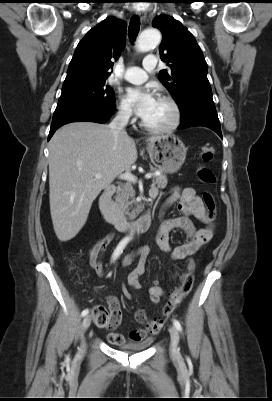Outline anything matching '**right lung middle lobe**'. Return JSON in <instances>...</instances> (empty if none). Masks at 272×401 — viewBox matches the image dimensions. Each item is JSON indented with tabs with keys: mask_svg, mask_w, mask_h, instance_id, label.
<instances>
[{
	"mask_svg": "<svg viewBox=\"0 0 272 401\" xmlns=\"http://www.w3.org/2000/svg\"><path fill=\"white\" fill-rule=\"evenodd\" d=\"M114 98L106 80L62 90L53 118L79 110L112 111Z\"/></svg>",
	"mask_w": 272,
	"mask_h": 401,
	"instance_id": "1",
	"label": "right lung middle lobe"
}]
</instances>
